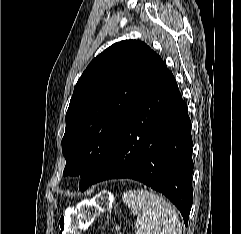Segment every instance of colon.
Returning <instances> with one entry per match:
<instances>
[{
	"mask_svg": "<svg viewBox=\"0 0 241 234\" xmlns=\"http://www.w3.org/2000/svg\"><path fill=\"white\" fill-rule=\"evenodd\" d=\"M113 200L109 193L101 192L80 207L67 210L59 219V234H81L96 216L111 208Z\"/></svg>",
	"mask_w": 241,
	"mask_h": 234,
	"instance_id": "colon-1",
	"label": "colon"
}]
</instances>
